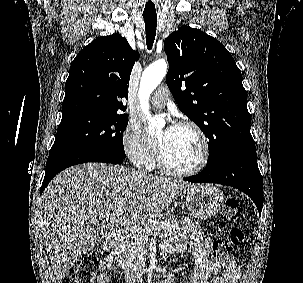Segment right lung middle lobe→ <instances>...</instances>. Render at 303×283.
<instances>
[{
  "instance_id": "dd1d6c3e",
  "label": "right lung middle lobe",
  "mask_w": 303,
  "mask_h": 283,
  "mask_svg": "<svg viewBox=\"0 0 303 283\" xmlns=\"http://www.w3.org/2000/svg\"><path fill=\"white\" fill-rule=\"evenodd\" d=\"M128 116L81 112L62 117L49 155L94 152L125 159L123 131Z\"/></svg>"
}]
</instances>
